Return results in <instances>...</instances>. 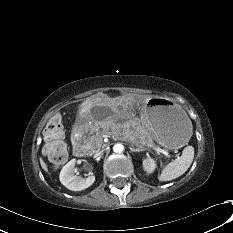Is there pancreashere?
Wrapping results in <instances>:
<instances>
[{
  "instance_id": "1",
  "label": "pancreas",
  "mask_w": 233,
  "mask_h": 233,
  "mask_svg": "<svg viewBox=\"0 0 233 233\" xmlns=\"http://www.w3.org/2000/svg\"><path fill=\"white\" fill-rule=\"evenodd\" d=\"M86 130L90 133V136L85 142L92 152H95L103 146L104 135H112L141 147L146 146L152 148L154 146V137L150 132L148 125L138 119L133 120L132 128L124 135L120 133L119 126L112 120L94 122L87 125Z\"/></svg>"
}]
</instances>
